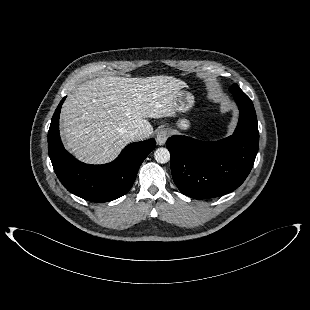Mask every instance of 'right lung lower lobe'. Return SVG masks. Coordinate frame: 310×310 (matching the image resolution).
<instances>
[{
    "label": "right lung lower lobe",
    "instance_id": "obj_1",
    "mask_svg": "<svg viewBox=\"0 0 310 310\" xmlns=\"http://www.w3.org/2000/svg\"><path fill=\"white\" fill-rule=\"evenodd\" d=\"M64 100L56 108L48 132V153L57 177L69 192L92 202H108L123 196L132 187L143 160L154 150L155 140L127 145L108 164L82 163L64 149L60 139L59 115Z\"/></svg>",
    "mask_w": 310,
    "mask_h": 310
}]
</instances>
